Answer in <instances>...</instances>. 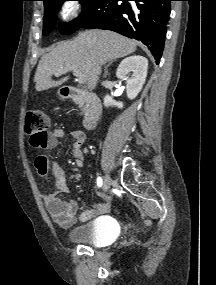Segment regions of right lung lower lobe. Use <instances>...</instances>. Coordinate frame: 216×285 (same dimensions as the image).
Masks as SVG:
<instances>
[{"mask_svg":"<svg viewBox=\"0 0 216 285\" xmlns=\"http://www.w3.org/2000/svg\"><path fill=\"white\" fill-rule=\"evenodd\" d=\"M103 0L80 28H99L140 40L158 64L172 0Z\"/></svg>","mask_w":216,"mask_h":285,"instance_id":"1","label":"right lung lower lobe"}]
</instances>
